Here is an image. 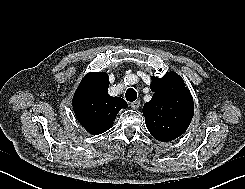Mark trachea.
I'll use <instances>...</instances> for the list:
<instances>
[{"label": "trachea", "instance_id": "3493384b", "mask_svg": "<svg viewBox=\"0 0 245 189\" xmlns=\"http://www.w3.org/2000/svg\"><path fill=\"white\" fill-rule=\"evenodd\" d=\"M125 97L127 101L133 102L137 99V92L133 88H129L125 93Z\"/></svg>", "mask_w": 245, "mask_h": 189}]
</instances>
